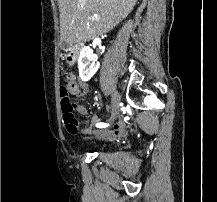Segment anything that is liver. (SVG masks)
<instances>
[{
	"instance_id": "1",
	"label": "liver",
	"mask_w": 217,
	"mask_h": 202,
	"mask_svg": "<svg viewBox=\"0 0 217 202\" xmlns=\"http://www.w3.org/2000/svg\"><path fill=\"white\" fill-rule=\"evenodd\" d=\"M137 0H58L61 42H89L118 26ZM95 14L100 20H93Z\"/></svg>"
}]
</instances>
